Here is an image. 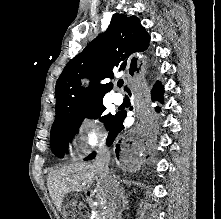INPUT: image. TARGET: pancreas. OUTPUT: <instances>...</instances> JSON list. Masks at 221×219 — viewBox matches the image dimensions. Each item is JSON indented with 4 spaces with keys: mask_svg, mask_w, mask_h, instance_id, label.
Listing matches in <instances>:
<instances>
[{
    "mask_svg": "<svg viewBox=\"0 0 221 219\" xmlns=\"http://www.w3.org/2000/svg\"><path fill=\"white\" fill-rule=\"evenodd\" d=\"M95 219H102L101 216L99 214L95 215Z\"/></svg>",
    "mask_w": 221,
    "mask_h": 219,
    "instance_id": "pancreas-1",
    "label": "pancreas"
}]
</instances>
